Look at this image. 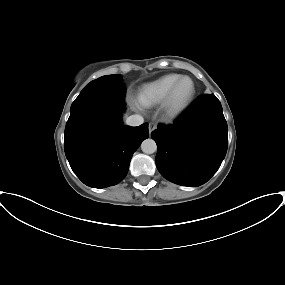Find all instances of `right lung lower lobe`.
<instances>
[{"label":"right lung lower lobe","instance_id":"1","mask_svg":"<svg viewBox=\"0 0 285 285\" xmlns=\"http://www.w3.org/2000/svg\"><path fill=\"white\" fill-rule=\"evenodd\" d=\"M124 96L96 95L71 110L64 137L69 164L87 186L105 188L126 176L133 153L148 138V123L122 124Z\"/></svg>","mask_w":285,"mask_h":285}]
</instances>
